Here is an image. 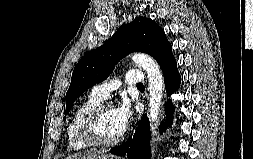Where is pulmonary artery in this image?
Returning <instances> with one entry per match:
<instances>
[{
    "mask_svg": "<svg viewBox=\"0 0 253 159\" xmlns=\"http://www.w3.org/2000/svg\"><path fill=\"white\" fill-rule=\"evenodd\" d=\"M144 82V75L141 70H129L122 82L100 83L92 88V93L101 99H106L111 92L120 87V85L138 86Z\"/></svg>",
    "mask_w": 253,
    "mask_h": 159,
    "instance_id": "1",
    "label": "pulmonary artery"
}]
</instances>
